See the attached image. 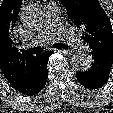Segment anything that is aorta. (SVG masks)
Instances as JSON below:
<instances>
[{
	"label": "aorta",
	"mask_w": 113,
	"mask_h": 113,
	"mask_svg": "<svg viewBox=\"0 0 113 113\" xmlns=\"http://www.w3.org/2000/svg\"><path fill=\"white\" fill-rule=\"evenodd\" d=\"M93 57L85 51H78L71 58L72 66L81 72H86L92 67Z\"/></svg>",
	"instance_id": "aorta-1"
}]
</instances>
